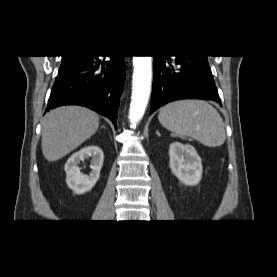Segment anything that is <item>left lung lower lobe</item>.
Returning <instances> with one entry per match:
<instances>
[{
  "instance_id": "0a47b994",
  "label": "left lung lower lobe",
  "mask_w": 277,
  "mask_h": 277,
  "mask_svg": "<svg viewBox=\"0 0 277 277\" xmlns=\"http://www.w3.org/2000/svg\"><path fill=\"white\" fill-rule=\"evenodd\" d=\"M154 57L150 113L178 99H209L221 105L207 56Z\"/></svg>"
}]
</instances>
